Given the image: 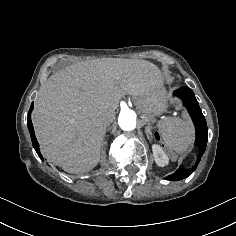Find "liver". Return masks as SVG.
I'll list each match as a JSON object with an SVG mask.
<instances>
[{
  "label": "liver",
  "mask_w": 236,
  "mask_h": 236,
  "mask_svg": "<svg viewBox=\"0 0 236 236\" xmlns=\"http://www.w3.org/2000/svg\"><path fill=\"white\" fill-rule=\"evenodd\" d=\"M157 86H163L161 72L137 59L86 60L51 75L33 116L44 156L69 173L90 171L103 157V137L121 99L143 100Z\"/></svg>",
  "instance_id": "liver-1"
}]
</instances>
